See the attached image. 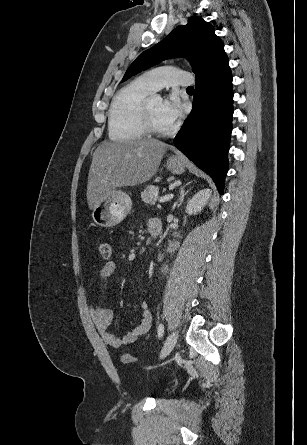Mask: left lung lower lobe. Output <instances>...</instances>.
<instances>
[{"mask_svg": "<svg viewBox=\"0 0 307 445\" xmlns=\"http://www.w3.org/2000/svg\"><path fill=\"white\" fill-rule=\"evenodd\" d=\"M233 90L228 57L196 76L193 109L175 146L214 180L223 194L232 131Z\"/></svg>", "mask_w": 307, "mask_h": 445, "instance_id": "0a47b994", "label": "left lung lower lobe"}]
</instances>
